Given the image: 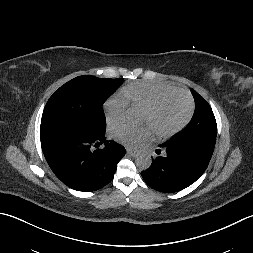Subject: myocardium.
Wrapping results in <instances>:
<instances>
[{
    "label": "myocardium",
    "instance_id": "f54148a6",
    "mask_svg": "<svg viewBox=\"0 0 253 253\" xmlns=\"http://www.w3.org/2000/svg\"><path fill=\"white\" fill-rule=\"evenodd\" d=\"M173 95L181 96L186 101L187 113H186L185 117L183 118V120L181 122H179L176 126L171 128L170 130L165 131V132H155V136L159 140L169 139L172 136L176 135L181 130H183L190 122V120L193 116V113H194L195 105H194V101H193L192 97L187 92H185L183 90H179V89L164 91V92L158 94L149 104H147L143 108V110H145L147 112H153L164 98H166L168 96H173Z\"/></svg>",
    "mask_w": 253,
    "mask_h": 253
}]
</instances>
